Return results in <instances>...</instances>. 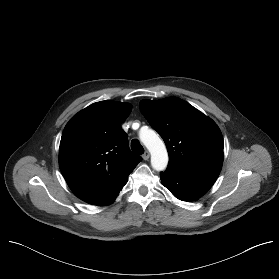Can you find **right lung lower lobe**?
Returning <instances> with one entry per match:
<instances>
[{
  "mask_svg": "<svg viewBox=\"0 0 279 279\" xmlns=\"http://www.w3.org/2000/svg\"><path fill=\"white\" fill-rule=\"evenodd\" d=\"M121 188L122 187L116 189L115 191L111 192L108 195H105L101 198H98V199L90 202V204H93V205H108V204L112 203L115 200V198L117 197Z\"/></svg>",
  "mask_w": 279,
  "mask_h": 279,
  "instance_id": "obj_1",
  "label": "right lung lower lobe"
}]
</instances>
